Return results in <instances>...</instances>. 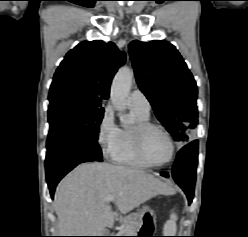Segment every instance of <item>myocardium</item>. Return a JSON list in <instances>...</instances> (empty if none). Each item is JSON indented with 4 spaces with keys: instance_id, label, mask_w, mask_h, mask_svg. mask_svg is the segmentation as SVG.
I'll list each match as a JSON object with an SVG mask.
<instances>
[{
    "instance_id": "1",
    "label": "myocardium",
    "mask_w": 248,
    "mask_h": 237,
    "mask_svg": "<svg viewBox=\"0 0 248 237\" xmlns=\"http://www.w3.org/2000/svg\"><path fill=\"white\" fill-rule=\"evenodd\" d=\"M152 129L158 130L162 134H164L170 143L171 150H170L169 158L162 163L152 162L151 160H149V158L147 157L144 151V145H143L144 136L149 130H152ZM132 140H133L134 148H135V151L138 157L143 162H145L149 167H154V168L165 167L173 160L175 156V153H176L175 142L171 134L169 133V131L159 124L152 123L149 121L138 122L132 129Z\"/></svg>"
}]
</instances>
